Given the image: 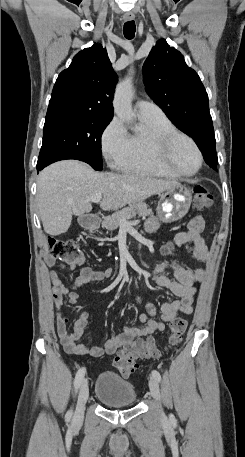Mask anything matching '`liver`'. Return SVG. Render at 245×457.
<instances>
[{
	"mask_svg": "<svg viewBox=\"0 0 245 457\" xmlns=\"http://www.w3.org/2000/svg\"><path fill=\"white\" fill-rule=\"evenodd\" d=\"M180 184L178 180L151 178L147 174L96 172L80 160H59L43 168L37 180V206L47 235L67 233L72 214L92 210L88 198L102 192L103 210H117L125 204L145 200L151 194Z\"/></svg>",
	"mask_w": 245,
	"mask_h": 457,
	"instance_id": "6515ba94",
	"label": "liver"
}]
</instances>
